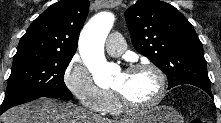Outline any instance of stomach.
Listing matches in <instances>:
<instances>
[{
	"mask_svg": "<svg viewBox=\"0 0 221 123\" xmlns=\"http://www.w3.org/2000/svg\"><path fill=\"white\" fill-rule=\"evenodd\" d=\"M131 123H183V119L174 108L160 105L136 114Z\"/></svg>",
	"mask_w": 221,
	"mask_h": 123,
	"instance_id": "1",
	"label": "stomach"
}]
</instances>
